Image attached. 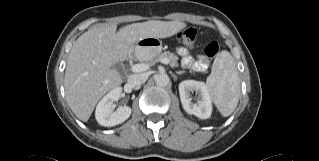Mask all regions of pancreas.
I'll use <instances>...</instances> for the list:
<instances>
[{
    "mask_svg": "<svg viewBox=\"0 0 319 161\" xmlns=\"http://www.w3.org/2000/svg\"><path fill=\"white\" fill-rule=\"evenodd\" d=\"M167 58L170 62V66L171 67H177L178 66V56L175 55L174 53H171L169 51H165L159 55H157L155 58H153L150 63L154 64L158 61H160L161 59Z\"/></svg>",
    "mask_w": 319,
    "mask_h": 161,
    "instance_id": "cf45deb5",
    "label": "pancreas"
}]
</instances>
